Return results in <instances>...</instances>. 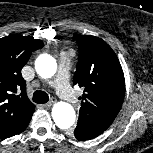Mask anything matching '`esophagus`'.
Wrapping results in <instances>:
<instances>
[{"mask_svg":"<svg viewBox=\"0 0 153 153\" xmlns=\"http://www.w3.org/2000/svg\"><path fill=\"white\" fill-rule=\"evenodd\" d=\"M56 102V99L55 98H51V100L45 104H43L44 107H50L52 106L54 103Z\"/></svg>","mask_w":153,"mask_h":153,"instance_id":"esophagus-1","label":"esophagus"}]
</instances>
